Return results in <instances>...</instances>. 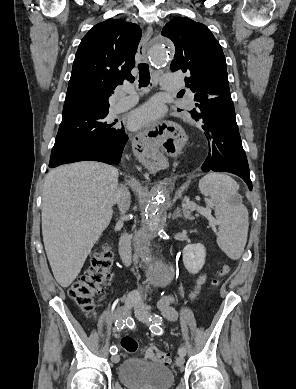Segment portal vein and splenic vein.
Returning <instances> with one entry per match:
<instances>
[{
    "label": "portal vein and splenic vein",
    "instance_id": "18ae733b",
    "mask_svg": "<svg viewBox=\"0 0 296 389\" xmlns=\"http://www.w3.org/2000/svg\"><path fill=\"white\" fill-rule=\"evenodd\" d=\"M195 206H197L195 203H193V202H191L189 199H186L185 200V204L183 205V207L185 208V209H193V208H195ZM202 215H204V216H210V210L209 209H204L203 211H202ZM216 224V223H215Z\"/></svg>",
    "mask_w": 296,
    "mask_h": 389
}]
</instances>
